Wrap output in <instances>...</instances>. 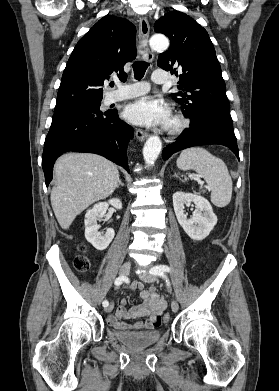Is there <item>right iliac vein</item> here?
Segmentation results:
<instances>
[{"label":"right iliac vein","mask_w":279,"mask_h":391,"mask_svg":"<svg viewBox=\"0 0 279 391\" xmlns=\"http://www.w3.org/2000/svg\"><path fill=\"white\" fill-rule=\"evenodd\" d=\"M130 268H131V263L129 261L125 262L120 268V271H119L120 276L121 277L127 276L130 271ZM113 307H114V304L110 303L108 306L105 307V312H111Z\"/></svg>","instance_id":"obj_1"}]
</instances>
